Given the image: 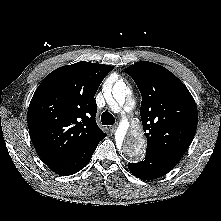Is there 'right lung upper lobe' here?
<instances>
[{"instance_id":"right-lung-upper-lobe-1","label":"right lung upper lobe","mask_w":221,"mask_h":221,"mask_svg":"<svg viewBox=\"0 0 221 221\" xmlns=\"http://www.w3.org/2000/svg\"><path fill=\"white\" fill-rule=\"evenodd\" d=\"M113 66L78 62L51 72L28 108L30 138L46 165L77 152L106 133L95 120V94Z\"/></svg>"}]
</instances>
